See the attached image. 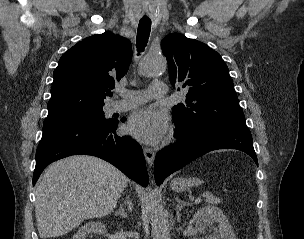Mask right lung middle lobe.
Masks as SVG:
<instances>
[{
    "mask_svg": "<svg viewBox=\"0 0 304 239\" xmlns=\"http://www.w3.org/2000/svg\"><path fill=\"white\" fill-rule=\"evenodd\" d=\"M109 121L111 119L105 118L103 108L101 107L66 116L47 118L43 123V127L63 124H97Z\"/></svg>",
    "mask_w": 304,
    "mask_h": 239,
    "instance_id": "obj_1",
    "label": "right lung middle lobe"
}]
</instances>
